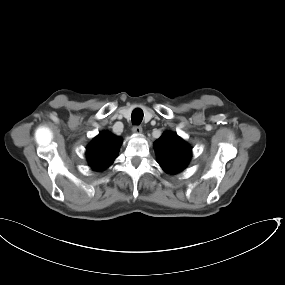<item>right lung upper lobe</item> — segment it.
<instances>
[{
    "instance_id": "right-lung-upper-lobe-1",
    "label": "right lung upper lobe",
    "mask_w": 285,
    "mask_h": 285,
    "mask_svg": "<svg viewBox=\"0 0 285 285\" xmlns=\"http://www.w3.org/2000/svg\"><path fill=\"white\" fill-rule=\"evenodd\" d=\"M122 139L108 131L101 132L87 147V159L95 171L105 170L116 159Z\"/></svg>"
}]
</instances>
